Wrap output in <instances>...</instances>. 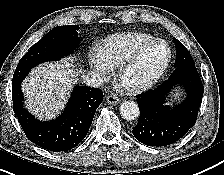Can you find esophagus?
<instances>
[{
  "mask_svg": "<svg viewBox=\"0 0 224 175\" xmlns=\"http://www.w3.org/2000/svg\"><path fill=\"white\" fill-rule=\"evenodd\" d=\"M106 100H107V102L109 104H113V105H116V104H118L120 102V99L117 96L112 95V94L111 95H108L106 97Z\"/></svg>",
  "mask_w": 224,
  "mask_h": 175,
  "instance_id": "1",
  "label": "esophagus"
}]
</instances>
